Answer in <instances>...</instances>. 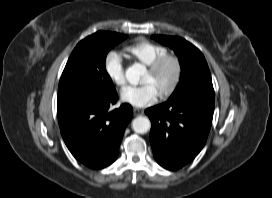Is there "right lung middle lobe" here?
Returning a JSON list of instances; mask_svg holds the SVG:
<instances>
[{
  "instance_id": "dd1d6c3e",
  "label": "right lung middle lobe",
  "mask_w": 272,
  "mask_h": 198,
  "mask_svg": "<svg viewBox=\"0 0 272 198\" xmlns=\"http://www.w3.org/2000/svg\"><path fill=\"white\" fill-rule=\"evenodd\" d=\"M126 38L127 35L99 31L80 41L60 78L57 104L82 98H105L115 93L105 60L109 50Z\"/></svg>"
}]
</instances>
